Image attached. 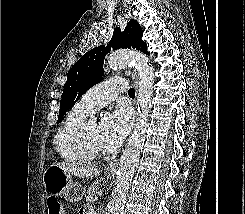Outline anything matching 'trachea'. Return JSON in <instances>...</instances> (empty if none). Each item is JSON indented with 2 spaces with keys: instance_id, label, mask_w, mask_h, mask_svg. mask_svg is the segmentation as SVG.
<instances>
[{
  "instance_id": "obj_1",
  "label": "trachea",
  "mask_w": 245,
  "mask_h": 214,
  "mask_svg": "<svg viewBox=\"0 0 245 214\" xmlns=\"http://www.w3.org/2000/svg\"><path fill=\"white\" fill-rule=\"evenodd\" d=\"M128 94H129L130 97H135V90H134V88H130L128 90Z\"/></svg>"
}]
</instances>
